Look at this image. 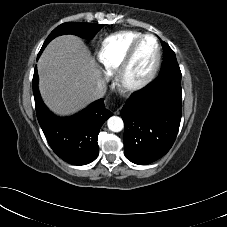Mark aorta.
Instances as JSON below:
<instances>
[{
    "label": "aorta",
    "instance_id": "1",
    "mask_svg": "<svg viewBox=\"0 0 227 227\" xmlns=\"http://www.w3.org/2000/svg\"><path fill=\"white\" fill-rule=\"evenodd\" d=\"M107 125L112 132H120L124 127L123 120L118 116L110 117L107 121Z\"/></svg>",
    "mask_w": 227,
    "mask_h": 227
}]
</instances>
